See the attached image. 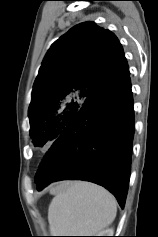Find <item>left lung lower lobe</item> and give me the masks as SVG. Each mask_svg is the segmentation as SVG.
<instances>
[{
    "label": "left lung lower lobe",
    "mask_w": 158,
    "mask_h": 237,
    "mask_svg": "<svg viewBox=\"0 0 158 237\" xmlns=\"http://www.w3.org/2000/svg\"><path fill=\"white\" fill-rule=\"evenodd\" d=\"M134 110L129 74L93 96L69 121L38 171L42 190L64 179L108 189L123 208L131 171Z\"/></svg>",
    "instance_id": "obj_1"
}]
</instances>
